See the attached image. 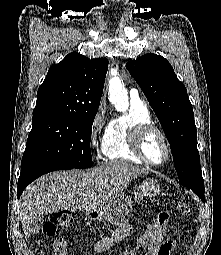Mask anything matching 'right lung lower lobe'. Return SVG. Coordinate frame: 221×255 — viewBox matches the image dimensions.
<instances>
[{
	"label": "right lung lower lobe",
	"mask_w": 221,
	"mask_h": 255,
	"mask_svg": "<svg viewBox=\"0 0 221 255\" xmlns=\"http://www.w3.org/2000/svg\"><path fill=\"white\" fill-rule=\"evenodd\" d=\"M74 169L69 167H61L46 164H28L21 168L20 177L18 180V198L22 194L23 190L38 177L55 170H67Z\"/></svg>",
	"instance_id": "1"
}]
</instances>
